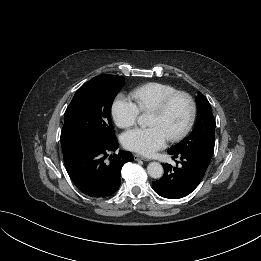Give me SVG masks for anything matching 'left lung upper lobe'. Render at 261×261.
I'll use <instances>...</instances> for the list:
<instances>
[{
  "instance_id": "obj_1",
  "label": "left lung upper lobe",
  "mask_w": 261,
  "mask_h": 261,
  "mask_svg": "<svg viewBox=\"0 0 261 261\" xmlns=\"http://www.w3.org/2000/svg\"><path fill=\"white\" fill-rule=\"evenodd\" d=\"M196 103L198 116L193 131L168 151L195 155L209 165L215 145V120L210 104L204 95L198 94Z\"/></svg>"
}]
</instances>
